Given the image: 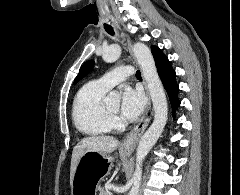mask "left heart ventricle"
<instances>
[{
    "label": "left heart ventricle",
    "instance_id": "b2bd125f",
    "mask_svg": "<svg viewBox=\"0 0 240 195\" xmlns=\"http://www.w3.org/2000/svg\"><path fill=\"white\" fill-rule=\"evenodd\" d=\"M111 111L118 113L119 112V100H113L107 104Z\"/></svg>",
    "mask_w": 240,
    "mask_h": 195
}]
</instances>
